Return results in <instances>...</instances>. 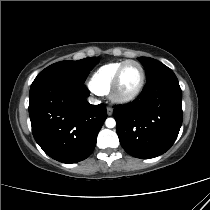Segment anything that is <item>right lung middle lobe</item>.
<instances>
[{
  "instance_id": "right-lung-middle-lobe-1",
  "label": "right lung middle lobe",
  "mask_w": 210,
  "mask_h": 210,
  "mask_svg": "<svg viewBox=\"0 0 210 210\" xmlns=\"http://www.w3.org/2000/svg\"><path fill=\"white\" fill-rule=\"evenodd\" d=\"M99 62L98 59L89 57L78 61H60L41 71L35 80L46 78H66L85 82L89 71Z\"/></svg>"
}]
</instances>
